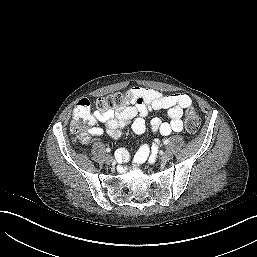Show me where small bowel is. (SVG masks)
<instances>
[{
    "label": "small bowel",
    "mask_w": 257,
    "mask_h": 257,
    "mask_svg": "<svg viewBox=\"0 0 257 257\" xmlns=\"http://www.w3.org/2000/svg\"><path fill=\"white\" fill-rule=\"evenodd\" d=\"M132 96L131 103L117 111L93 112V125L101 122L105 125V132L111 138H118L122 129L131 126L135 134H142L146 129L145 118L151 110H165L169 117L168 121L160 118H153L150 127L153 132L161 136H168L172 133H179L183 130L182 116L184 110L192 105L191 98L186 94L163 95L157 90L143 87H134L130 90ZM75 115V111H74ZM103 129L93 126L86 134L80 135L83 143L90 141V136H100ZM155 148L143 145L134 156V163L141 164L147 160H153ZM116 156L120 162L126 161L129 152L126 149L117 151Z\"/></svg>",
    "instance_id": "1"
}]
</instances>
